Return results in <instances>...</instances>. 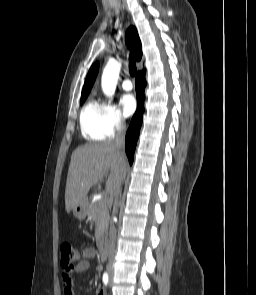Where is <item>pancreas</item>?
Here are the masks:
<instances>
[{
	"label": "pancreas",
	"instance_id": "obj_1",
	"mask_svg": "<svg viewBox=\"0 0 256 295\" xmlns=\"http://www.w3.org/2000/svg\"><path fill=\"white\" fill-rule=\"evenodd\" d=\"M89 216L96 224L95 238L100 242L107 230L109 222L108 203L106 200L94 202L89 208Z\"/></svg>",
	"mask_w": 256,
	"mask_h": 295
}]
</instances>
